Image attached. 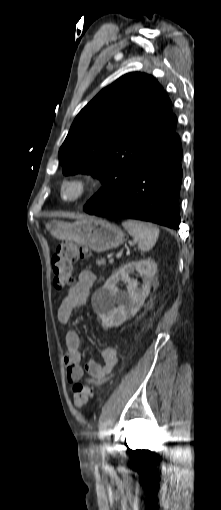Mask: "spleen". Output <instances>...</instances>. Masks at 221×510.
<instances>
[{
	"label": "spleen",
	"mask_w": 221,
	"mask_h": 510,
	"mask_svg": "<svg viewBox=\"0 0 221 510\" xmlns=\"http://www.w3.org/2000/svg\"><path fill=\"white\" fill-rule=\"evenodd\" d=\"M122 225L138 241V247L143 252L152 249L158 239L159 229L152 223L126 220Z\"/></svg>",
	"instance_id": "3e777b00"
}]
</instances>
